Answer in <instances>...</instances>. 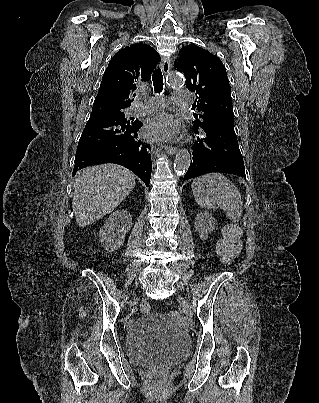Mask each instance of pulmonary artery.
Wrapping results in <instances>:
<instances>
[{"mask_svg":"<svg viewBox=\"0 0 319 403\" xmlns=\"http://www.w3.org/2000/svg\"><path fill=\"white\" fill-rule=\"evenodd\" d=\"M191 93L185 90H176L173 92V104L178 107H188L190 105ZM165 101L159 97H139L129 109L131 114H141L150 111H156L162 108Z\"/></svg>","mask_w":319,"mask_h":403,"instance_id":"e3ab8cb5","label":"pulmonary artery"}]
</instances>
